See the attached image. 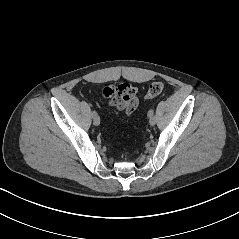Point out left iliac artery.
I'll use <instances>...</instances> for the list:
<instances>
[{
    "mask_svg": "<svg viewBox=\"0 0 239 239\" xmlns=\"http://www.w3.org/2000/svg\"><path fill=\"white\" fill-rule=\"evenodd\" d=\"M153 115H154V110H153V109H150V110L148 111V116L151 117V116H153Z\"/></svg>",
    "mask_w": 239,
    "mask_h": 239,
    "instance_id": "left-iliac-artery-1",
    "label": "left iliac artery"
}]
</instances>
